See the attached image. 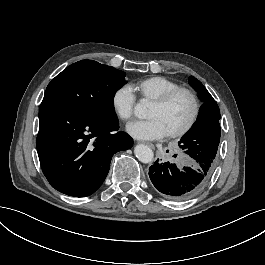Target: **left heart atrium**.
Here are the masks:
<instances>
[{
  "mask_svg": "<svg viewBox=\"0 0 265 265\" xmlns=\"http://www.w3.org/2000/svg\"><path fill=\"white\" fill-rule=\"evenodd\" d=\"M127 132L139 140H154L165 136L166 130L159 120H134L127 125Z\"/></svg>",
  "mask_w": 265,
  "mask_h": 265,
  "instance_id": "39dd6f15",
  "label": "left heart atrium"
}]
</instances>
